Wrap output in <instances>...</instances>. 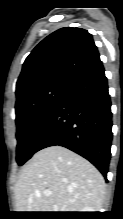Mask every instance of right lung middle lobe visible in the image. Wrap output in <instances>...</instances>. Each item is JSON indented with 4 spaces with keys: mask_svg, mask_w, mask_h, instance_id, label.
<instances>
[{
    "mask_svg": "<svg viewBox=\"0 0 123 219\" xmlns=\"http://www.w3.org/2000/svg\"><path fill=\"white\" fill-rule=\"evenodd\" d=\"M67 83H51L32 90L16 101V138L19 165L36 152V144Z\"/></svg>",
    "mask_w": 123,
    "mask_h": 219,
    "instance_id": "right-lung-middle-lobe-1",
    "label": "right lung middle lobe"
}]
</instances>
